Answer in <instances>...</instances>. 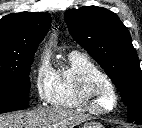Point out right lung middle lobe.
I'll return each instance as SVG.
<instances>
[{
	"instance_id": "1",
	"label": "right lung middle lobe",
	"mask_w": 142,
	"mask_h": 128,
	"mask_svg": "<svg viewBox=\"0 0 142 128\" xmlns=\"http://www.w3.org/2000/svg\"><path fill=\"white\" fill-rule=\"evenodd\" d=\"M33 59L17 69L0 73V114L26 109L31 87L29 73Z\"/></svg>"
}]
</instances>
